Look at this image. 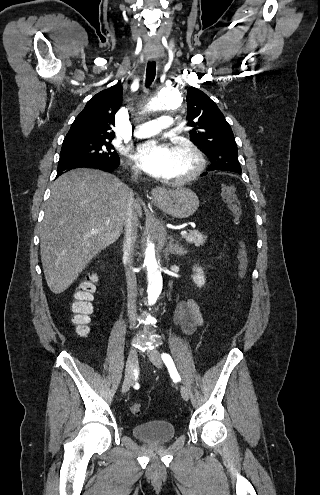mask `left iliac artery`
<instances>
[{"mask_svg": "<svg viewBox=\"0 0 320 495\" xmlns=\"http://www.w3.org/2000/svg\"><path fill=\"white\" fill-rule=\"evenodd\" d=\"M161 357H162V360L164 361L165 365L167 366L171 377L173 379L179 381L180 380V376H179V374L177 372V369L175 367V364H174L173 359L171 358V356L169 354H167V353H162Z\"/></svg>", "mask_w": 320, "mask_h": 495, "instance_id": "44dca946", "label": "left iliac artery"}]
</instances>
